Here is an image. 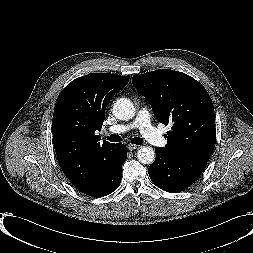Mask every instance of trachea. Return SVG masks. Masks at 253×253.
<instances>
[{
  "label": "trachea",
  "instance_id": "3493384b",
  "mask_svg": "<svg viewBox=\"0 0 253 253\" xmlns=\"http://www.w3.org/2000/svg\"><path fill=\"white\" fill-rule=\"evenodd\" d=\"M110 142H120L122 141V138L118 135L112 134L110 137H108ZM132 143L136 145H141L143 143V139L140 137H134L131 139Z\"/></svg>",
  "mask_w": 253,
  "mask_h": 253
}]
</instances>
